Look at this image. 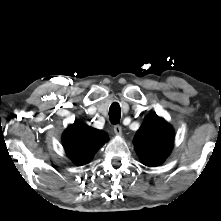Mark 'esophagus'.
Listing matches in <instances>:
<instances>
[{
	"label": "esophagus",
	"instance_id": "34e87169",
	"mask_svg": "<svg viewBox=\"0 0 221 221\" xmlns=\"http://www.w3.org/2000/svg\"><path fill=\"white\" fill-rule=\"evenodd\" d=\"M113 130L116 135H121L122 134V127L118 124L114 125Z\"/></svg>",
	"mask_w": 221,
	"mask_h": 221
}]
</instances>
